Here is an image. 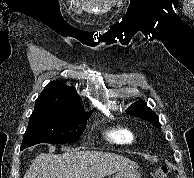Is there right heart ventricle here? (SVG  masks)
Listing matches in <instances>:
<instances>
[{
    "label": "right heart ventricle",
    "instance_id": "1",
    "mask_svg": "<svg viewBox=\"0 0 194 178\" xmlns=\"http://www.w3.org/2000/svg\"><path fill=\"white\" fill-rule=\"evenodd\" d=\"M106 138L117 144H132L136 142V135L126 126L112 127L106 131Z\"/></svg>",
    "mask_w": 194,
    "mask_h": 178
}]
</instances>
